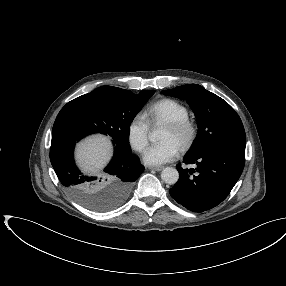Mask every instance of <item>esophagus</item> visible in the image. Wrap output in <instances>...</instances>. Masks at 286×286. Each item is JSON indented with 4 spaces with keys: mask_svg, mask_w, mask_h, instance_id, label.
I'll list each match as a JSON object with an SVG mask.
<instances>
[{
    "mask_svg": "<svg viewBox=\"0 0 286 286\" xmlns=\"http://www.w3.org/2000/svg\"><path fill=\"white\" fill-rule=\"evenodd\" d=\"M150 170H155V171H161L164 169L163 166H149L148 167Z\"/></svg>",
    "mask_w": 286,
    "mask_h": 286,
    "instance_id": "1",
    "label": "esophagus"
}]
</instances>
